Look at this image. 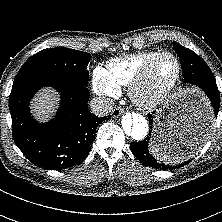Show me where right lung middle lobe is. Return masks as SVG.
I'll use <instances>...</instances> for the list:
<instances>
[{
	"label": "right lung middle lobe",
	"mask_w": 222,
	"mask_h": 222,
	"mask_svg": "<svg viewBox=\"0 0 222 222\" xmlns=\"http://www.w3.org/2000/svg\"><path fill=\"white\" fill-rule=\"evenodd\" d=\"M90 58V54L86 52L69 48L44 49L30 57L17 75L41 73L62 78L76 85L87 86V65Z\"/></svg>",
	"instance_id": "1"
}]
</instances>
